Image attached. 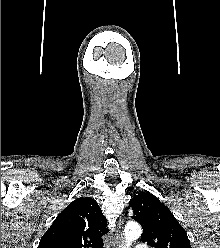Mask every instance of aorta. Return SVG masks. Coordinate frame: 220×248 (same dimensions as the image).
Returning a JSON list of instances; mask_svg holds the SVG:
<instances>
[{
	"instance_id": "obj_1",
	"label": "aorta",
	"mask_w": 220,
	"mask_h": 248,
	"mask_svg": "<svg viewBox=\"0 0 220 248\" xmlns=\"http://www.w3.org/2000/svg\"><path fill=\"white\" fill-rule=\"evenodd\" d=\"M142 229L141 226L135 222L130 221L126 224L124 229V235H125V248H129L133 241L138 239L141 236Z\"/></svg>"
}]
</instances>
